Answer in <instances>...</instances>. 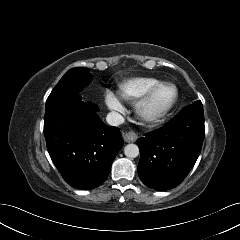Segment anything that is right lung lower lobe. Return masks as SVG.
Instances as JSON below:
<instances>
[{
	"mask_svg": "<svg viewBox=\"0 0 240 240\" xmlns=\"http://www.w3.org/2000/svg\"><path fill=\"white\" fill-rule=\"evenodd\" d=\"M79 94L46 103L44 135L50 157L72 187L94 189L108 177L123 146L119 128L105 125L97 105Z\"/></svg>",
	"mask_w": 240,
	"mask_h": 240,
	"instance_id": "98d812e1",
	"label": "right lung lower lobe"
}]
</instances>
